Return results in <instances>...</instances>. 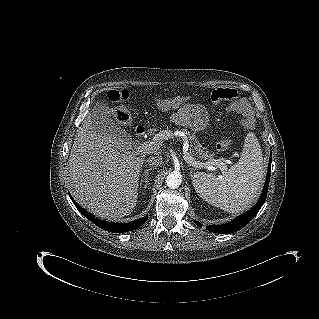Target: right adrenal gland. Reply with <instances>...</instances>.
<instances>
[{
	"label": "right adrenal gland",
	"mask_w": 319,
	"mask_h": 319,
	"mask_svg": "<svg viewBox=\"0 0 319 319\" xmlns=\"http://www.w3.org/2000/svg\"><path fill=\"white\" fill-rule=\"evenodd\" d=\"M151 170H153V168L145 169L144 173L141 175V182H140V184L143 183V179L145 178V181H144L145 187H144V188H146V186H147V184H148L149 171H151Z\"/></svg>",
	"instance_id": "right-adrenal-gland-1"
}]
</instances>
